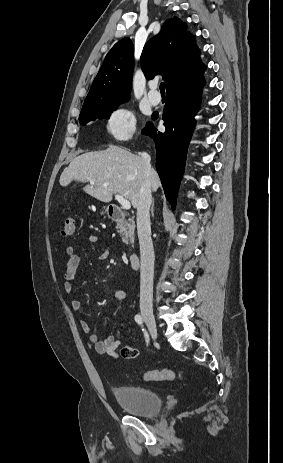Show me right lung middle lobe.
<instances>
[{
  "label": "right lung middle lobe",
  "mask_w": 283,
  "mask_h": 463,
  "mask_svg": "<svg viewBox=\"0 0 283 463\" xmlns=\"http://www.w3.org/2000/svg\"><path fill=\"white\" fill-rule=\"evenodd\" d=\"M128 99V97L115 98L83 105L79 116V123L81 125H86L88 122L96 119H108L110 117L109 114L112 113L118 105L128 101Z\"/></svg>",
  "instance_id": "1"
}]
</instances>
